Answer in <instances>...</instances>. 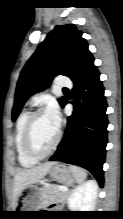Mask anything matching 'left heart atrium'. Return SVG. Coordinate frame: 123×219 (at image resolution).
<instances>
[{
	"label": "left heart atrium",
	"instance_id": "39dd6f15",
	"mask_svg": "<svg viewBox=\"0 0 123 219\" xmlns=\"http://www.w3.org/2000/svg\"><path fill=\"white\" fill-rule=\"evenodd\" d=\"M46 113L57 126L60 125L61 116H60V112H59V109L56 103L54 102L50 103L49 106L47 107Z\"/></svg>",
	"mask_w": 123,
	"mask_h": 219
}]
</instances>
